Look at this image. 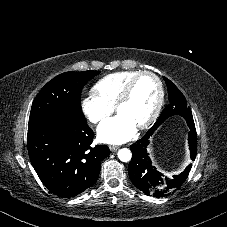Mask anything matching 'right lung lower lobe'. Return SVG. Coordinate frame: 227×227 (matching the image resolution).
I'll use <instances>...</instances> for the list:
<instances>
[{
    "mask_svg": "<svg viewBox=\"0 0 227 227\" xmlns=\"http://www.w3.org/2000/svg\"><path fill=\"white\" fill-rule=\"evenodd\" d=\"M87 123L69 118L46 119L28 128V153L43 184L62 198L74 197L97 180L106 145L91 147Z\"/></svg>",
    "mask_w": 227,
    "mask_h": 227,
    "instance_id": "98d812e1",
    "label": "right lung lower lobe"
}]
</instances>
